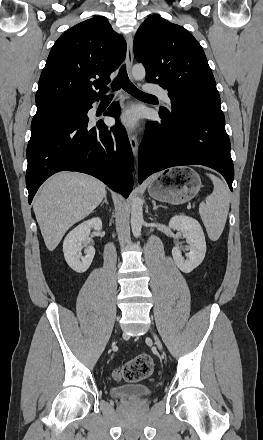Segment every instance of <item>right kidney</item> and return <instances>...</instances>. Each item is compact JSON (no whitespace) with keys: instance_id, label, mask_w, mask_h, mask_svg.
Returning a JSON list of instances; mask_svg holds the SVG:
<instances>
[{"instance_id":"obj_1","label":"right kidney","mask_w":263,"mask_h":440,"mask_svg":"<svg viewBox=\"0 0 263 440\" xmlns=\"http://www.w3.org/2000/svg\"><path fill=\"white\" fill-rule=\"evenodd\" d=\"M91 228L95 230L102 229V221L99 217L84 221L73 230H71L65 237L63 242L64 257L71 269L77 273L85 272L91 265L95 255V249L92 246L86 248V256L81 257L82 244L89 237Z\"/></svg>"}]
</instances>
